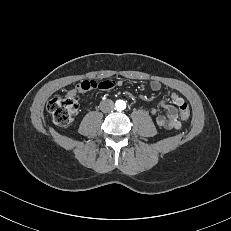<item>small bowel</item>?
Here are the masks:
<instances>
[{"label":"small bowel","mask_w":231,"mask_h":231,"mask_svg":"<svg viewBox=\"0 0 231 231\" xmlns=\"http://www.w3.org/2000/svg\"><path fill=\"white\" fill-rule=\"evenodd\" d=\"M121 86L122 82H116L112 79L103 80L101 82L95 81H82L76 85L75 92L85 93L92 88H100L103 90H109L115 86ZM150 87L153 91H158L161 89V83L158 81H152ZM186 103L185 100L175 92L168 95L167 101H162L160 103L163 113L157 115V124L164 129H179L181 127V122L178 120V109ZM152 115L157 114V109L151 110Z\"/></svg>","instance_id":"c3829d8e"}]
</instances>
